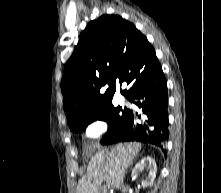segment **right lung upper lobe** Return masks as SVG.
Wrapping results in <instances>:
<instances>
[{"label": "right lung upper lobe", "instance_id": "right-lung-upper-lobe-1", "mask_svg": "<svg viewBox=\"0 0 221 193\" xmlns=\"http://www.w3.org/2000/svg\"><path fill=\"white\" fill-rule=\"evenodd\" d=\"M158 62L155 50L136 27L118 15L91 21L67 61L61 89L69 126L112 103L116 83L129 97L134 85ZM109 85L107 89L104 86Z\"/></svg>", "mask_w": 221, "mask_h": 193}]
</instances>
